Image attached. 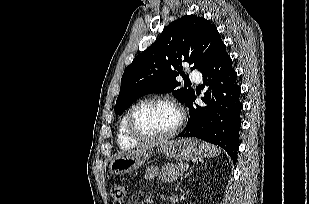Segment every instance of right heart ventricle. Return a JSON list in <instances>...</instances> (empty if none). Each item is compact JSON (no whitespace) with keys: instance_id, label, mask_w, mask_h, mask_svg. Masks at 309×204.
Here are the masks:
<instances>
[{"instance_id":"e07e8e85","label":"right heart ventricle","mask_w":309,"mask_h":204,"mask_svg":"<svg viewBox=\"0 0 309 204\" xmlns=\"http://www.w3.org/2000/svg\"><path fill=\"white\" fill-rule=\"evenodd\" d=\"M133 107L134 106L128 109V111L124 114L118 126V144L121 148H124V149L134 147L139 142L137 140L132 139L129 136L127 129H126L127 118Z\"/></svg>"}]
</instances>
